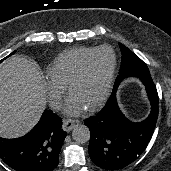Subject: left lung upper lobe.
Here are the masks:
<instances>
[{
  "mask_svg": "<svg viewBox=\"0 0 171 171\" xmlns=\"http://www.w3.org/2000/svg\"><path fill=\"white\" fill-rule=\"evenodd\" d=\"M119 47L122 52V63L111 96L116 95L117 87L124 78L135 76L143 83L152 81L147 65L123 44L119 43Z\"/></svg>",
  "mask_w": 171,
  "mask_h": 171,
  "instance_id": "5c2ea615",
  "label": "left lung upper lobe"
}]
</instances>
